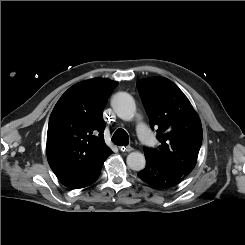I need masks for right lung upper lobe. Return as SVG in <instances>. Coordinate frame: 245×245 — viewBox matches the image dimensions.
<instances>
[{
	"label": "right lung upper lobe",
	"instance_id": "obj_1",
	"mask_svg": "<svg viewBox=\"0 0 245 245\" xmlns=\"http://www.w3.org/2000/svg\"><path fill=\"white\" fill-rule=\"evenodd\" d=\"M118 83L94 78L70 87L56 103L48 124L47 159L60 180L75 188L112 154L105 144L103 109Z\"/></svg>",
	"mask_w": 245,
	"mask_h": 245
}]
</instances>
